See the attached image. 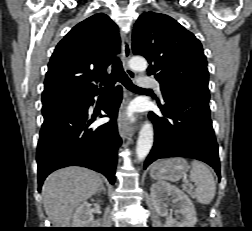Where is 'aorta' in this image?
<instances>
[{
    "mask_svg": "<svg viewBox=\"0 0 252 231\" xmlns=\"http://www.w3.org/2000/svg\"><path fill=\"white\" fill-rule=\"evenodd\" d=\"M129 67L135 71H145L147 69V61L143 57H133L129 61ZM153 145V126L150 122H145L139 132L136 156L139 161L144 160L149 154Z\"/></svg>",
    "mask_w": 252,
    "mask_h": 231,
    "instance_id": "aorta-1",
    "label": "aorta"
}]
</instances>
